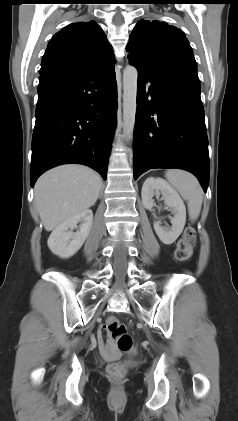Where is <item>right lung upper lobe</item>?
<instances>
[{"label":"right lung upper lobe","mask_w":238,"mask_h":421,"mask_svg":"<svg viewBox=\"0 0 238 421\" xmlns=\"http://www.w3.org/2000/svg\"><path fill=\"white\" fill-rule=\"evenodd\" d=\"M115 63L112 47L103 29L94 21L77 22L53 36L39 72L108 70Z\"/></svg>","instance_id":"1"}]
</instances>
